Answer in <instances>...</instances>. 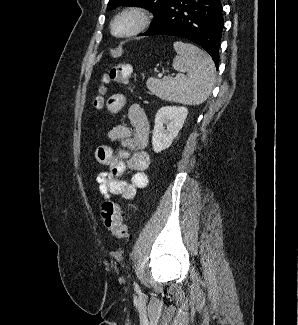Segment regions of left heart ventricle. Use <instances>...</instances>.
Returning <instances> with one entry per match:
<instances>
[{
	"mask_svg": "<svg viewBox=\"0 0 298 325\" xmlns=\"http://www.w3.org/2000/svg\"><path fill=\"white\" fill-rule=\"evenodd\" d=\"M129 29V24L128 23H125L122 27H121V30H128Z\"/></svg>",
	"mask_w": 298,
	"mask_h": 325,
	"instance_id": "b2bd125f",
	"label": "left heart ventricle"
}]
</instances>
